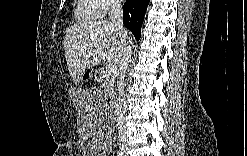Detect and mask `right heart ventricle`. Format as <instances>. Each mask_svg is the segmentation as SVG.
I'll use <instances>...</instances> for the list:
<instances>
[{"label":"right heart ventricle","instance_id":"obj_1","mask_svg":"<svg viewBox=\"0 0 247 156\" xmlns=\"http://www.w3.org/2000/svg\"><path fill=\"white\" fill-rule=\"evenodd\" d=\"M74 15L79 21H93L100 17V5L95 0L77 1L74 8Z\"/></svg>","mask_w":247,"mask_h":156}]
</instances>
